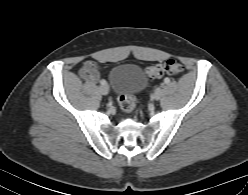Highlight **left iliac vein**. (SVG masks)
<instances>
[{
	"label": "left iliac vein",
	"mask_w": 248,
	"mask_h": 195,
	"mask_svg": "<svg viewBox=\"0 0 248 195\" xmlns=\"http://www.w3.org/2000/svg\"><path fill=\"white\" fill-rule=\"evenodd\" d=\"M161 95H162V90L159 88L154 92L153 98L155 100H159L161 98Z\"/></svg>",
	"instance_id": "obj_1"
}]
</instances>
